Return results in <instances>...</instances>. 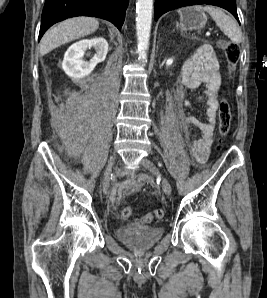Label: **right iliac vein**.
Returning <instances> with one entry per match:
<instances>
[{"label":"right iliac vein","mask_w":267,"mask_h":298,"mask_svg":"<svg viewBox=\"0 0 267 298\" xmlns=\"http://www.w3.org/2000/svg\"><path fill=\"white\" fill-rule=\"evenodd\" d=\"M116 160V156L113 155L109 161H108V165L106 167L105 173H104V177H103V186L104 188H107L109 186L110 183V175L112 172V167L114 165V162Z\"/></svg>","instance_id":"right-iliac-vein-1"}]
</instances>
